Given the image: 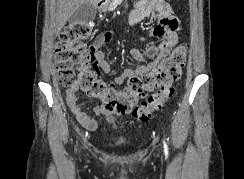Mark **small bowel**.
<instances>
[{
  "instance_id": "obj_1",
  "label": "small bowel",
  "mask_w": 244,
  "mask_h": 179,
  "mask_svg": "<svg viewBox=\"0 0 244 179\" xmlns=\"http://www.w3.org/2000/svg\"><path fill=\"white\" fill-rule=\"evenodd\" d=\"M157 17V24L151 28L149 34L152 37L161 39L158 44H152L141 50L132 48L130 50L131 57L139 61L140 64L135 68H127L123 73L115 77L111 81L112 86L121 85L126 79L132 75H142L148 73L156 67L170 52L179 40V21L173 13L170 5L163 0H137L134 2L128 24L135 26L143 19L149 16ZM113 38V33L103 32L98 34L91 45L89 51L92 54L95 64L103 73H111V65L106 60L102 47ZM79 89L66 90V102L77 121L88 130H94L97 122L89 114L85 107L78 99ZM92 111L98 116L105 118L109 126L118 128L121 122L115 114L109 113L103 106H93Z\"/></svg>"
}]
</instances>
